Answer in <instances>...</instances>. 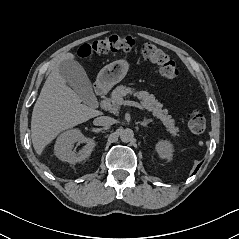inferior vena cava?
<instances>
[{
    "mask_svg": "<svg viewBox=\"0 0 239 239\" xmlns=\"http://www.w3.org/2000/svg\"><path fill=\"white\" fill-rule=\"evenodd\" d=\"M96 123L100 126H111L115 123V119L109 116H100L95 119Z\"/></svg>",
    "mask_w": 239,
    "mask_h": 239,
    "instance_id": "1",
    "label": "inferior vena cava"
}]
</instances>
